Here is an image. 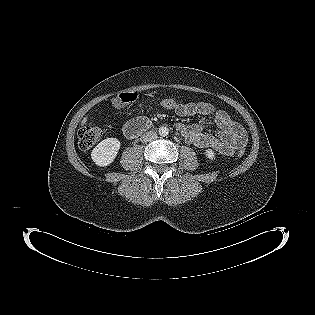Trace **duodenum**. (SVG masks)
Wrapping results in <instances>:
<instances>
[{"instance_id":"obj_1","label":"duodenum","mask_w":315,"mask_h":315,"mask_svg":"<svg viewBox=\"0 0 315 315\" xmlns=\"http://www.w3.org/2000/svg\"><path fill=\"white\" fill-rule=\"evenodd\" d=\"M151 127V122L146 118H138L128 122L124 126V134L126 137L133 139L147 131Z\"/></svg>"}]
</instances>
